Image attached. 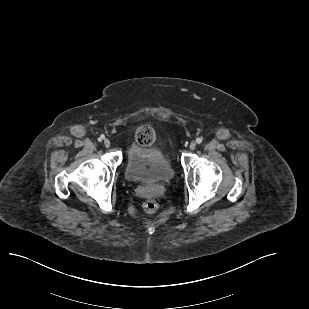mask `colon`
<instances>
[{"label":"colon","instance_id":"colon-1","mask_svg":"<svg viewBox=\"0 0 309 309\" xmlns=\"http://www.w3.org/2000/svg\"><path fill=\"white\" fill-rule=\"evenodd\" d=\"M135 136H136V140L141 145H145V146L151 145L156 139V136L154 132L152 131V129L147 126H142L138 128ZM158 207H159L158 203L153 199H149L145 201L143 204L144 210L149 214L155 213L158 210Z\"/></svg>","mask_w":309,"mask_h":309}]
</instances>
